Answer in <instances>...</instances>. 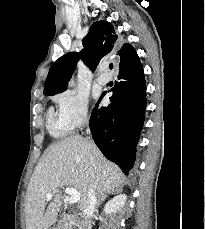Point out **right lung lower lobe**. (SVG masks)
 Instances as JSON below:
<instances>
[{"mask_svg": "<svg viewBox=\"0 0 205 229\" xmlns=\"http://www.w3.org/2000/svg\"><path fill=\"white\" fill-rule=\"evenodd\" d=\"M118 79L111 90L110 104L101 109L95 107L89 124L101 152L128 174L135 161V146L146 108L145 78L139 59L129 67L119 69ZM105 94L103 92L97 105Z\"/></svg>", "mask_w": 205, "mask_h": 229, "instance_id": "1", "label": "right lung lower lobe"}]
</instances>
